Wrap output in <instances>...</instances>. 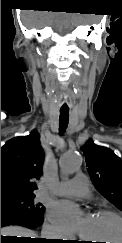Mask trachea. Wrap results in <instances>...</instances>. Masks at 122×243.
<instances>
[{"instance_id":"obj_1","label":"trachea","mask_w":122,"mask_h":243,"mask_svg":"<svg viewBox=\"0 0 122 243\" xmlns=\"http://www.w3.org/2000/svg\"><path fill=\"white\" fill-rule=\"evenodd\" d=\"M69 121V109L67 108H61L60 109V116H59V122H60V132L63 133L68 125Z\"/></svg>"}]
</instances>
